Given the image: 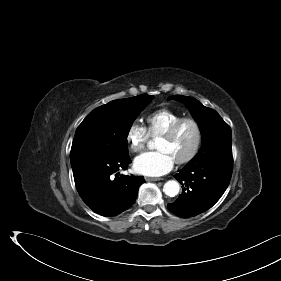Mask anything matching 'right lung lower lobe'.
<instances>
[{
  "label": "right lung lower lobe",
  "mask_w": 281,
  "mask_h": 281,
  "mask_svg": "<svg viewBox=\"0 0 281 281\" xmlns=\"http://www.w3.org/2000/svg\"><path fill=\"white\" fill-rule=\"evenodd\" d=\"M130 162L128 156L119 160L92 159L72 165L77 191L95 213L118 215L135 202L139 186L145 182L144 178L125 175L113 177L119 169H127Z\"/></svg>",
  "instance_id": "right-lung-lower-lobe-1"
}]
</instances>
